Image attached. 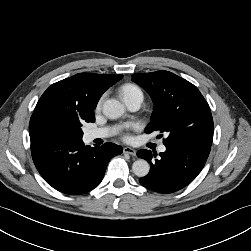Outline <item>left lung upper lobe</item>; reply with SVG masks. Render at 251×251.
<instances>
[{
  "label": "left lung upper lobe",
  "instance_id": "5c2ea615",
  "mask_svg": "<svg viewBox=\"0 0 251 251\" xmlns=\"http://www.w3.org/2000/svg\"><path fill=\"white\" fill-rule=\"evenodd\" d=\"M132 80L149 93L155 105L146 133L166 132L165 146L212 144L211 111L195 85L168 71L135 73Z\"/></svg>",
  "mask_w": 251,
  "mask_h": 251
}]
</instances>
